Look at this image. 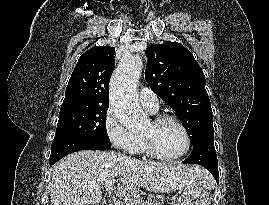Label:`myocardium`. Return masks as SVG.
Instances as JSON below:
<instances>
[{"label":"myocardium","instance_id":"obj_1","mask_svg":"<svg viewBox=\"0 0 269 205\" xmlns=\"http://www.w3.org/2000/svg\"><path fill=\"white\" fill-rule=\"evenodd\" d=\"M151 122L154 126L161 125L164 122H172V123L176 124L184 133L185 140H186V146H185V149L181 153L174 155V156H167V155L160 153L157 150L151 137L144 135V134H141V140L143 143L144 151L149 156L156 158V159H159V160L173 161V160H178V159L184 157L190 151L191 146H192L190 132H189L188 128L185 126V124L182 121H180L177 117H175L173 115H169V114H160V115L156 116Z\"/></svg>","mask_w":269,"mask_h":205}]
</instances>
